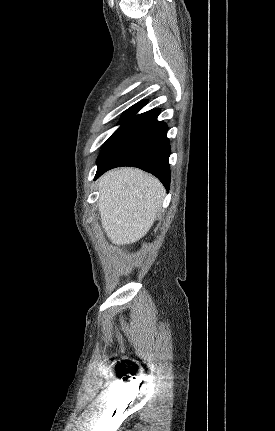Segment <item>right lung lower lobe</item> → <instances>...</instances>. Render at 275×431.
<instances>
[{
  "label": "right lung lower lobe",
  "instance_id": "1",
  "mask_svg": "<svg viewBox=\"0 0 275 431\" xmlns=\"http://www.w3.org/2000/svg\"><path fill=\"white\" fill-rule=\"evenodd\" d=\"M159 109L136 115L102 149L94 180L121 166L138 167L170 186V143L167 125L157 120Z\"/></svg>",
  "mask_w": 275,
  "mask_h": 431
}]
</instances>
